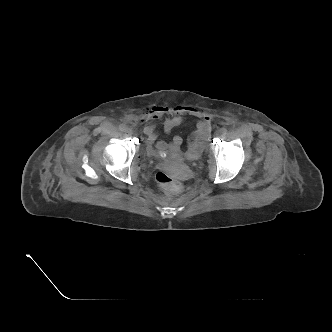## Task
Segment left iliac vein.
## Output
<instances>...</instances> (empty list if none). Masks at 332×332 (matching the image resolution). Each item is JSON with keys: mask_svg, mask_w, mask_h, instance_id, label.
<instances>
[{"mask_svg": "<svg viewBox=\"0 0 332 332\" xmlns=\"http://www.w3.org/2000/svg\"><path fill=\"white\" fill-rule=\"evenodd\" d=\"M222 135V131L221 130H218L217 132H216V136L217 137H220Z\"/></svg>", "mask_w": 332, "mask_h": 332, "instance_id": "left-iliac-vein-1", "label": "left iliac vein"}]
</instances>
